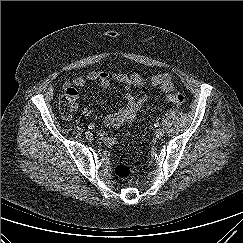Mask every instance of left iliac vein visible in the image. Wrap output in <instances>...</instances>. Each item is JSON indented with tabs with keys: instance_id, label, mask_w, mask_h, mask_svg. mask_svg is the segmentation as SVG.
<instances>
[{
	"instance_id": "left-iliac-vein-1",
	"label": "left iliac vein",
	"mask_w": 243,
	"mask_h": 243,
	"mask_svg": "<svg viewBox=\"0 0 243 243\" xmlns=\"http://www.w3.org/2000/svg\"><path fill=\"white\" fill-rule=\"evenodd\" d=\"M155 135H156L157 138H162L163 135H164V130L161 129V128L157 129L156 132H155Z\"/></svg>"
}]
</instances>
